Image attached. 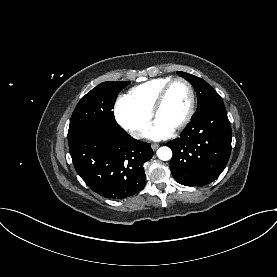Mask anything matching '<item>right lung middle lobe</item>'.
I'll return each mask as SVG.
<instances>
[{
    "instance_id": "right-lung-middle-lobe-1",
    "label": "right lung middle lobe",
    "mask_w": 277,
    "mask_h": 277,
    "mask_svg": "<svg viewBox=\"0 0 277 277\" xmlns=\"http://www.w3.org/2000/svg\"><path fill=\"white\" fill-rule=\"evenodd\" d=\"M130 81L103 82L88 92L77 104L70 120L68 143L97 128L119 129L112 109L119 92Z\"/></svg>"
}]
</instances>
